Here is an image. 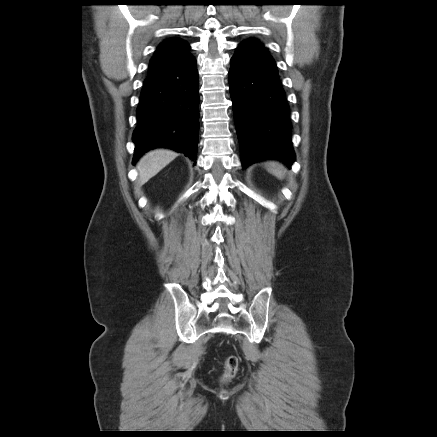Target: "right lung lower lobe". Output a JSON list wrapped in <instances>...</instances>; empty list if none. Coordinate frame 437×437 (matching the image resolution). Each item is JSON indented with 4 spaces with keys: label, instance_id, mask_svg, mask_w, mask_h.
I'll use <instances>...</instances> for the list:
<instances>
[{
    "label": "right lung lower lobe",
    "instance_id": "98d812e1",
    "mask_svg": "<svg viewBox=\"0 0 437 437\" xmlns=\"http://www.w3.org/2000/svg\"><path fill=\"white\" fill-rule=\"evenodd\" d=\"M198 70L190 54L150 72L137 108L133 163L150 149L171 148L196 160L199 132Z\"/></svg>",
    "mask_w": 437,
    "mask_h": 437
}]
</instances>
